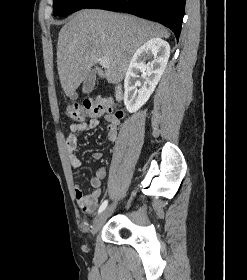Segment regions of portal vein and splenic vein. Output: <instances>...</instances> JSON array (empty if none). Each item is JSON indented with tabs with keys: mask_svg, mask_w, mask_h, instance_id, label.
<instances>
[{
	"mask_svg": "<svg viewBox=\"0 0 247 280\" xmlns=\"http://www.w3.org/2000/svg\"><path fill=\"white\" fill-rule=\"evenodd\" d=\"M99 63L102 67H106L109 64V59L107 57H102L99 59Z\"/></svg>",
	"mask_w": 247,
	"mask_h": 280,
	"instance_id": "portal-vein-and-splenic-vein-1",
	"label": "portal vein and splenic vein"
}]
</instances>
